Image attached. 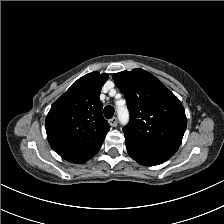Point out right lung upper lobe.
<instances>
[{"label": "right lung upper lobe", "instance_id": "right-lung-upper-lobe-1", "mask_svg": "<svg viewBox=\"0 0 224 224\" xmlns=\"http://www.w3.org/2000/svg\"><path fill=\"white\" fill-rule=\"evenodd\" d=\"M107 74L84 75L56 100L45 122L47 136L62 135L94 148L102 144L110 129L99 99Z\"/></svg>", "mask_w": 224, "mask_h": 224}]
</instances>
